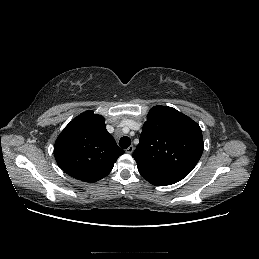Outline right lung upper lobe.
I'll return each instance as SVG.
<instances>
[{"mask_svg":"<svg viewBox=\"0 0 259 259\" xmlns=\"http://www.w3.org/2000/svg\"><path fill=\"white\" fill-rule=\"evenodd\" d=\"M124 150L106 130L101 115L86 111L73 119L58 136L54 156L71 177L96 182L107 176Z\"/></svg>","mask_w":259,"mask_h":259,"instance_id":"cb5924a9","label":"right lung upper lobe"}]
</instances>
